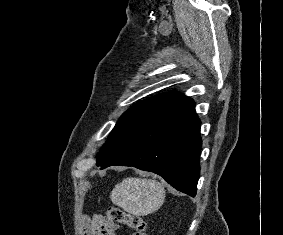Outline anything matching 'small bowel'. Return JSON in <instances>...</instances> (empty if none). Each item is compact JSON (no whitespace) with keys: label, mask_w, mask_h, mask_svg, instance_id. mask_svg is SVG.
I'll return each instance as SVG.
<instances>
[{"label":"small bowel","mask_w":283,"mask_h":235,"mask_svg":"<svg viewBox=\"0 0 283 235\" xmlns=\"http://www.w3.org/2000/svg\"><path fill=\"white\" fill-rule=\"evenodd\" d=\"M87 235H116L118 225L102 215L85 221Z\"/></svg>","instance_id":"obj_1"}]
</instances>
